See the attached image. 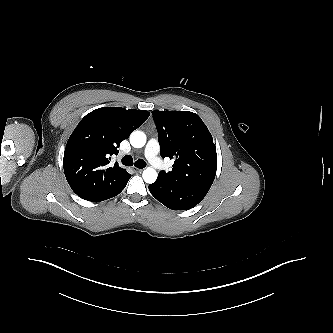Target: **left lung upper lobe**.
I'll return each instance as SVG.
<instances>
[{
    "label": "left lung upper lobe",
    "instance_id": "obj_1",
    "mask_svg": "<svg viewBox=\"0 0 333 333\" xmlns=\"http://www.w3.org/2000/svg\"><path fill=\"white\" fill-rule=\"evenodd\" d=\"M160 154L174 159L172 171H161L173 183L208 191L215 179L217 153L202 119L190 111H152Z\"/></svg>",
    "mask_w": 333,
    "mask_h": 333
}]
</instances>
